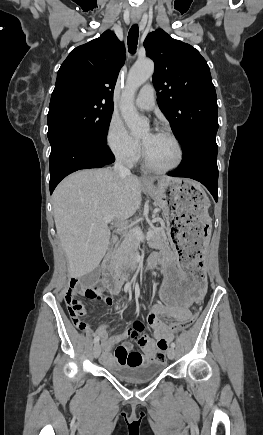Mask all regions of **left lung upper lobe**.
<instances>
[{
	"label": "left lung upper lobe",
	"mask_w": 263,
	"mask_h": 435,
	"mask_svg": "<svg viewBox=\"0 0 263 435\" xmlns=\"http://www.w3.org/2000/svg\"><path fill=\"white\" fill-rule=\"evenodd\" d=\"M155 63L157 102L183 148L195 137L216 134L218 105L210 69L197 49L158 29L144 41Z\"/></svg>",
	"instance_id": "left-lung-upper-lobe-1"
}]
</instances>
